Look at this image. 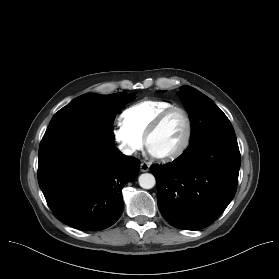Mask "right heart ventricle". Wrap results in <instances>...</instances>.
<instances>
[{
  "instance_id": "obj_1",
  "label": "right heart ventricle",
  "mask_w": 279,
  "mask_h": 279,
  "mask_svg": "<svg viewBox=\"0 0 279 279\" xmlns=\"http://www.w3.org/2000/svg\"><path fill=\"white\" fill-rule=\"evenodd\" d=\"M174 106L173 103L162 99L141 100L121 114L122 123L144 139L148 127L156 116L164 109Z\"/></svg>"
}]
</instances>
